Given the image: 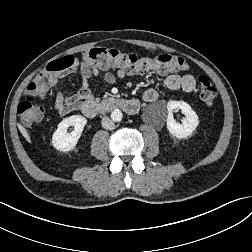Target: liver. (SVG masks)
<instances>
[{
	"mask_svg": "<svg viewBox=\"0 0 252 252\" xmlns=\"http://www.w3.org/2000/svg\"><path fill=\"white\" fill-rule=\"evenodd\" d=\"M18 128H19V131L21 132V134L23 135V137L28 141V142H31V139H30V135L29 133L27 132V130L20 124H18Z\"/></svg>",
	"mask_w": 252,
	"mask_h": 252,
	"instance_id": "1",
	"label": "liver"
}]
</instances>
